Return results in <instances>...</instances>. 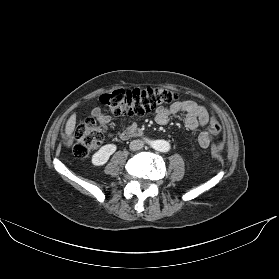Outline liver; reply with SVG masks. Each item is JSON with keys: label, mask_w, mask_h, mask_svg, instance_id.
Listing matches in <instances>:
<instances>
[{"label": "liver", "mask_w": 279, "mask_h": 279, "mask_svg": "<svg viewBox=\"0 0 279 279\" xmlns=\"http://www.w3.org/2000/svg\"><path fill=\"white\" fill-rule=\"evenodd\" d=\"M76 125V114L73 113L70 118L68 119L66 126H65V133L68 138L72 136V133L75 129Z\"/></svg>", "instance_id": "liver-1"}]
</instances>
